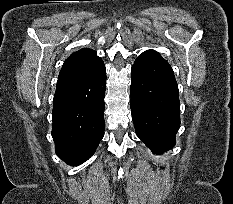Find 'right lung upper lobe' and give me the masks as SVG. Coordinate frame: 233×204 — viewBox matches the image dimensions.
I'll list each match as a JSON object with an SVG mask.
<instances>
[{"label": "right lung upper lobe", "instance_id": "right-lung-upper-lobe-1", "mask_svg": "<svg viewBox=\"0 0 233 204\" xmlns=\"http://www.w3.org/2000/svg\"><path fill=\"white\" fill-rule=\"evenodd\" d=\"M102 65V59L92 49L84 48L74 52L63 64L59 74L57 88L89 78Z\"/></svg>", "mask_w": 233, "mask_h": 204}]
</instances>
